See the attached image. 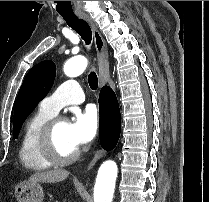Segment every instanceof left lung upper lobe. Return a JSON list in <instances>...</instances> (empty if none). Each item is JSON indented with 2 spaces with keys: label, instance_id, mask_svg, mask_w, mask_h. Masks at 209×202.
<instances>
[{
  "label": "left lung upper lobe",
  "instance_id": "5c2ea615",
  "mask_svg": "<svg viewBox=\"0 0 209 202\" xmlns=\"http://www.w3.org/2000/svg\"><path fill=\"white\" fill-rule=\"evenodd\" d=\"M56 76V65L51 60L42 61L27 73L17 96L14 109L13 133L17 138L23 122L37 104L46 97Z\"/></svg>",
  "mask_w": 209,
  "mask_h": 202
}]
</instances>
